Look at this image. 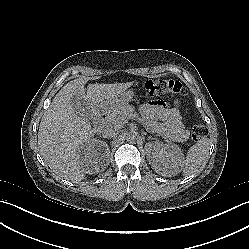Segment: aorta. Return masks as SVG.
Segmentation results:
<instances>
[{
	"label": "aorta",
	"mask_w": 249,
	"mask_h": 249,
	"mask_svg": "<svg viewBox=\"0 0 249 249\" xmlns=\"http://www.w3.org/2000/svg\"><path fill=\"white\" fill-rule=\"evenodd\" d=\"M136 139V134L134 133H127V140L131 141V140H134Z\"/></svg>",
	"instance_id": "aorta-1"
}]
</instances>
